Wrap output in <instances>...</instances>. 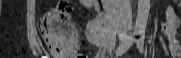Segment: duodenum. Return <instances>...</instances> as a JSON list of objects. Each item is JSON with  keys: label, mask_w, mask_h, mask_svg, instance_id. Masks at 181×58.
<instances>
[{"label": "duodenum", "mask_w": 181, "mask_h": 58, "mask_svg": "<svg viewBox=\"0 0 181 58\" xmlns=\"http://www.w3.org/2000/svg\"><path fill=\"white\" fill-rule=\"evenodd\" d=\"M130 0H102L104 7L114 13H121L131 3Z\"/></svg>", "instance_id": "obj_1"}]
</instances>
